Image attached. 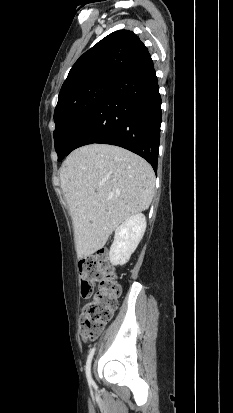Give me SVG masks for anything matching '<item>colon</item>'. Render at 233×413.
<instances>
[{"label": "colon", "instance_id": "1", "mask_svg": "<svg viewBox=\"0 0 233 413\" xmlns=\"http://www.w3.org/2000/svg\"><path fill=\"white\" fill-rule=\"evenodd\" d=\"M79 272L82 296H92L81 314L80 335L83 340H90L96 338L111 320L121 287L106 251L80 261ZM96 286L97 291L93 294Z\"/></svg>", "mask_w": 233, "mask_h": 413}]
</instances>
